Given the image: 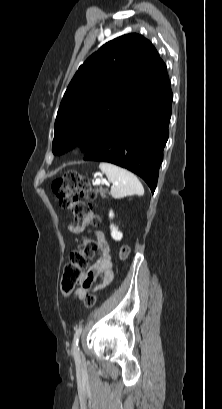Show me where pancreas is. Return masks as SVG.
<instances>
[{"instance_id":"cf45deb5","label":"pancreas","mask_w":222,"mask_h":409,"mask_svg":"<svg viewBox=\"0 0 222 409\" xmlns=\"http://www.w3.org/2000/svg\"><path fill=\"white\" fill-rule=\"evenodd\" d=\"M95 192H96V193H100V195H101L102 197H106V194H107V190H106V189H103V188L96 189Z\"/></svg>"}]
</instances>
